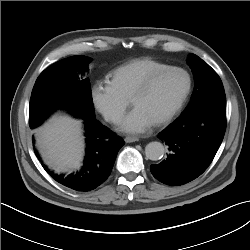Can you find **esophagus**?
<instances>
[{
	"label": "esophagus",
	"mask_w": 250,
	"mask_h": 250,
	"mask_svg": "<svg viewBox=\"0 0 250 250\" xmlns=\"http://www.w3.org/2000/svg\"><path fill=\"white\" fill-rule=\"evenodd\" d=\"M125 142L126 143H132V142H136V141H138L139 140V138H137V137H134V136H127V137H125Z\"/></svg>",
	"instance_id": "1"
}]
</instances>
